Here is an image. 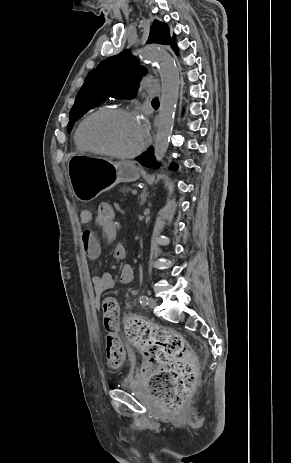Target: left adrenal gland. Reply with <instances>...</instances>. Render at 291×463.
<instances>
[{
    "label": "left adrenal gland",
    "instance_id": "left-adrenal-gland-1",
    "mask_svg": "<svg viewBox=\"0 0 291 463\" xmlns=\"http://www.w3.org/2000/svg\"><path fill=\"white\" fill-rule=\"evenodd\" d=\"M147 197H148V193H146V191L144 190V191L142 192L141 196H140V198H141V203H140V205H141V206L146 202Z\"/></svg>",
    "mask_w": 291,
    "mask_h": 463
}]
</instances>
